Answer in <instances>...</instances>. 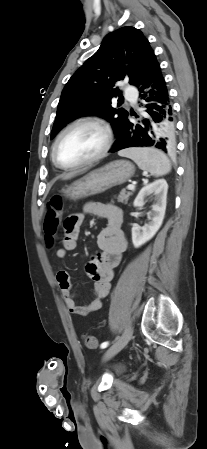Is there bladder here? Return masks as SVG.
Wrapping results in <instances>:
<instances>
[{
    "label": "bladder",
    "instance_id": "1",
    "mask_svg": "<svg viewBox=\"0 0 207 449\" xmlns=\"http://www.w3.org/2000/svg\"><path fill=\"white\" fill-rule=\"evenodd\" d=\"M111 371H112V373H113L114 375H118V374H120V373L123 372V367H121V366H115V367L112 368Z\"/></svg>",
    "mask_w": 207,
    "mask_h": 449
}]
</instances>
